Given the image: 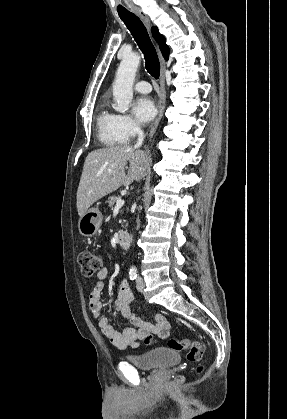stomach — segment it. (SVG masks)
<instances>
[{
    "label": "stomach",
    "mask_w": 287,
    "mask_h": 419,
    "mask_svg": "<svg viewBox=\"0 0 287 419\" xmlns=\"http://www.w3.org/2000/svg\"><path fill=\"white\" fill-rule=\"evenodd\" d=\"M102 214L98 207H93L80 217L78 222L79 232L86 237L96 235L102 223Z\"/></svg>",
    "instance_id": "1"
}]
</instances>
